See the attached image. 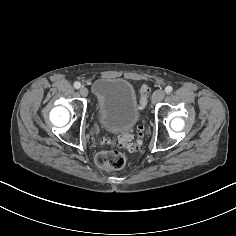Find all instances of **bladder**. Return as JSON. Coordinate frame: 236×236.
Here are the masks:
<instances>
[{"mask_svg": "<svg viewBox=\"0 0 236 236\" xmlns=\"http://www.w3.org/2000/svg\"><path fill=\"white\" fill-rule=\"evenodd\" d=\"M93 92L96 115L104 128L121 134L135 126L140 111L130 82L120 78H100L94 83Z\"/></svg>", "mask_w": 236, "mask_h": 236, "instance_id": "bladder-1", "label": "bladder"}]
</instances>
